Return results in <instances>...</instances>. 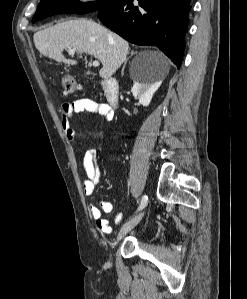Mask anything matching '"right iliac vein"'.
<instances>
[{
	"instance_id": "1",
	"label": "right iliac vein",
	"mask_w": 247,
	"mask_h": 299,
	"mask_svg": "<svg viewBox=\"0 0 247 299\" xmlns=\"http://www.w3.org/2000/svg\"><path fill=\"white\" fill-rule=\"evenodd\" d=\"M144 212L136 215L134 218L126 222L120 229L117 239L114 243L116 245L128 232H130L142 219Z\"/></svg>"
}]
</instances>
